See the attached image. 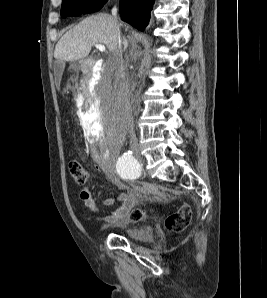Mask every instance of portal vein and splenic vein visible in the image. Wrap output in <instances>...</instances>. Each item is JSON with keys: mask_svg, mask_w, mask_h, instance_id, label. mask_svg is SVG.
I'll return each instance as SVG.
<instances>
[{"mask_svg": "<svg viewBox=\"0 0 267 298\" xmlns=\"http://www.w3.org/2000/svg\"><path fill=\"white\" fill-rule=\"evenodd\" d=\"M95 47L101 52L105 51V46L102 44H96Z\"/></svg>", "mask_w": 267, "mask_h": 298, "instance_id": "portal-vein-and-splenic-vein-1", "label": "portal vein and splenic vein"}]
</instances>
